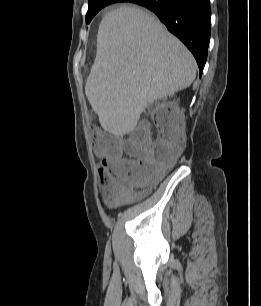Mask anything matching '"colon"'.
Here are the masks:
<instances>
[{
	"label": "colon",
	"instance_id": "5ec220e1",
	"mask_svg": "<svg viewBox=\"0 0 261 306\" xmlns=\"http://www.w3.org/2000/svg\"><path fill=\"white\" fill-rule=\"evenodd\" d=\"M149 116L157 129L155 140L150 124L141 123L126 139L124 149L129 157L121 159V142L112 135L94 136L96 152L110 158L109 170L99 168L100 181L106 201L123 197L130 187H145L157 182L165 170L177 161L184 141V119L172 106L157 103Z\"/></svg>",
	"mask_w": 261,
	"mask_h": 306
}]
</instances>
